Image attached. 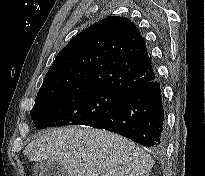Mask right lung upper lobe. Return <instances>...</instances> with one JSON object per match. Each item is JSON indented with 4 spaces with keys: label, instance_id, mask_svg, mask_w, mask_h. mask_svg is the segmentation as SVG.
I'll return each mask as SVG.
<instances>
[{
    "label": "right lung upper lobe",
    "instance_id": "cb5924a9",
    "mask_svg": "<svg viewBox=\"0 0 205 176\" xmlns=\"http://www.w3.org/2000/svg\"><path fill=\"white\" fill-rule=\"evenodd\" d=\"M156 78L143 37L124 17H107L75 37L58 53L37 96L107 89L125 95Z\"/></svg>",
    "mask_w": 205,
    "mask_h": 176
}]
</instances>
